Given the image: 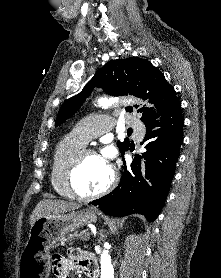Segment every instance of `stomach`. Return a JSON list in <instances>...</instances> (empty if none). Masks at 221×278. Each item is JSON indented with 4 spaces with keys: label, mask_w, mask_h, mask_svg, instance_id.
<instances>
[{
    "label": "stomach",
    "mask_w": 221,
    "mask_h": 278,
    "mask_svg": "<svg viewBox=\"0 0 221 278\" xmlns=\"http://www.w3.org/2000/svg\"><path fill=\"white\" fill-rule=\"evenodd\" d=\"M98 212L92 208L67 214H49L36 220L29 231L21 255L20 278H50L49 250L69 232L95 223Z\"/></svg>",
    "instance_id": "0dacf381"
}]
</instances>
